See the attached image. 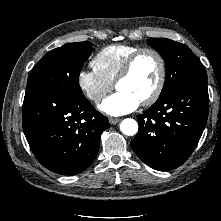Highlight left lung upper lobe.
<instances>
[{
    "label": "left lung upper lobe",
    "mask_w": 221,
    "mask_h": 221,
    "mask_svg": "<svg viewBox=\"0 0 221 221\" xmlns=\"http://www.w3.org/2000/svg\"><path fill=\"white\" fill-rule=\"evenodd\" d=\"M148 44L165 61L166 79L159 98L186 83L207 80L205 68L187 46L167 38H150Z\"/></svg>",
    "instance_id": "5c2ea615"
}]
</instances>
